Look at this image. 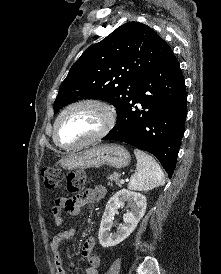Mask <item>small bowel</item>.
<instances>
[{"instance_id": "1", "label": "small bowel", "mask_w": 221, "mask_h": 274, "mask_svg": "<svg viewBox=\"0 0 221 274\" xmlns=\"http://www.w3.org/2000/svg\"><path fill=\"white\" fill-rule=\"evenodd\" d=\"M105 195L106 189L99 186L94 189H88L77 197H60L55 200L52 207V213L57 231L52 238L50 246L57 274H66L61 245L64 241L72 238L76 233V230L73 227H64L63 212L66 211L72 216H78L81 213L83 206L95 203L101 200ZM94 248L95 239L93 237H88L82 247V255L88 264L86 267V274H99L98 268L101 264V258L99 255L93 253Z\"/></svg>"}]
</instances>
